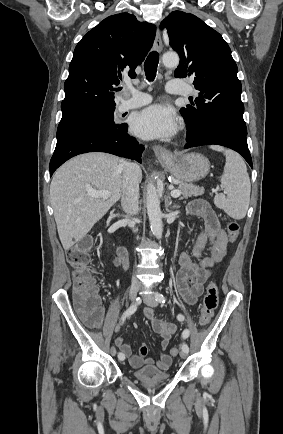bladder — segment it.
Here are the masks:
<instances>
[{"mask_svg": "<svg viewBox=\"0 0 283 434\" xmlns=\"http://www.w3.org/2000/svg\"><path fill=\"white\" fill-rule=\"evenodd\" d=\"M134 379L141 382L167 381L170 379V373L162 371L153 365H146L132 371Z\"/></svg>", "mask_w": 283, "mask_h": 434, "instance_id": "1", "label": "bladder"}]
</instances>
